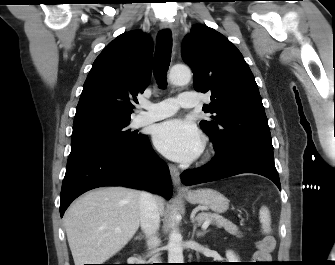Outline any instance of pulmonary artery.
<instances>
[{
	"label": "pulmonary artery",
	"mask_w": 335,
	"mask_h": 265,
	"mask_svg": "<svg viewBox=\"0 0 335 265\" xmlns=\"http://www.w3.org/2000/svg\"><path fill=\"white\" fill-rule=\"evenodd\" d=\"M197 105V95L194 92H182L177 98H168L157 103H142L141 107L145 110L137 115L135 124H144L158 121L175 114L179 108H194Z\"/></svg>",
	"instance_id": "1"
}]
</instances>
